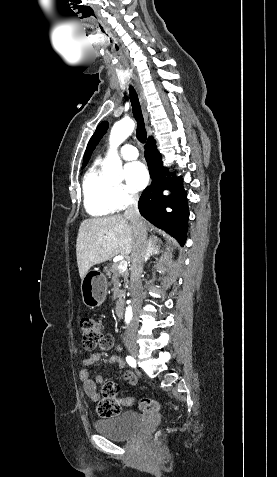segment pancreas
<instances>
[{"label":"pancreas","mask_w":277,"mask_h":477,"mask_svg":"<svg viewBox=\"0 0 277 477\" xmlns=\"http://www.w3.org/2000/svg\"><path fill=\"white\" fill-rule=\"evenodd\" d=\"M105 271H107V274H113V277H119L122 276L124 277V281L127 283L128 282V275L129 273L127 271H121L118 269V263L115 264H110L108 266H105Z\"/></svg>","instance_id":"cf45deb5"}]
</instances>
